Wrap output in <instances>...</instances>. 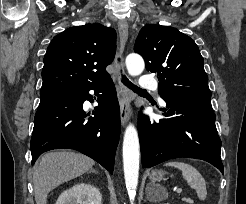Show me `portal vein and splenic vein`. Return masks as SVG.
I'll return each mask as SVG.
<instances>
[{"label": "portal vein and splenic vein", "mask_w": 246, "mask_h": 204, "mask_svg": "<svg viewBox=\"0 0 246 204\" xmlns=\"http://www.w3.org/2000/svg\"><path fill=\"white\" fill-rule=\"evenodd\" d=\"M176 191L177 193H182V188H177Z\"/></svg>", "instance_id": "1"}]
</instances>
